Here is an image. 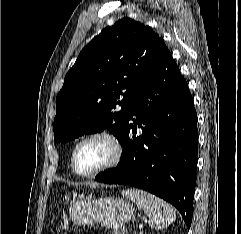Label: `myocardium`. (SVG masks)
<instances>
[{
  "instance_id": "myocardium-1",
  "label": "myocardium",
  "mask_w": 241,
  "mask_h": 234,
  "mask_svg": "<svg viewBox=\"0 0 241 234\" xmlns=\"http://www.w3.org/2000/svg\"><path fill=\"white\" fill-rule=\"evenodd\" d=\"M92 139L106 140L112 148V156L108 162H106L102 166L98 167L97 169H95L91 172L83 173V172L78 171V169L76 167V153H77V150L79 149V147L83 143H85L86 141L92 140ZM122 156H123V145H122L120 139L116 135L111 133L110 131L97 130V131H93V132H90V133L84 135L76 142V144L74 145V147L72 149L70 164H71V168H72L73 172L77 176L84 177V178H90V177H94L104 171H107V170L117 166L119 164V162L121 161Z\"/></svg>"
}]
</instances>
